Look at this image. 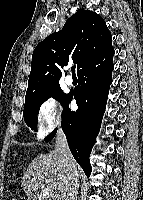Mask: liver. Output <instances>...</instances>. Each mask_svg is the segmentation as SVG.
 Here are the masks:
<instances>
[{
    "instance_id": "liver-1",
    "label": "liver",
    "mask_w": 143,
    "mask_h": 200,
    "mask_svg": "<svg viewBox=\"0 0 143 200\" xmlns=\"http://www.w3.org/2000/svg\"><path fill=\"white\" fill-rule=\"evenodd\" d=\"M65 182L64 167L61 156L54 151L35 157L22 178V188L31 196L41 185L50 190V200H63L62 191Z\"/></svg>"
}]
</instances>
